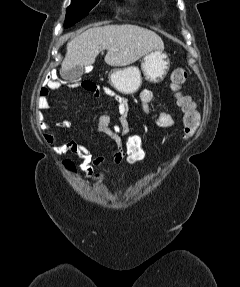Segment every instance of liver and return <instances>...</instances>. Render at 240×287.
<instances>
[{
  "label": "liver",
  "mask_w": 240,
  "mask_h": 287,
  "mask_svg": "<svg viewBox=\"0 0 240 287\" xmlns=\"http://www.w3.org/2000/svg\"><path fill=\"white\" fill-rule=\"evenodd\" d=\"M104 49L105 62L110 66H126L147 53L164 49V43L155 32L137 25H107L84 31L67 44L62 72L76 66H89Z\"/></svg>",
  "instance_id": "1"
}]
</instances>
